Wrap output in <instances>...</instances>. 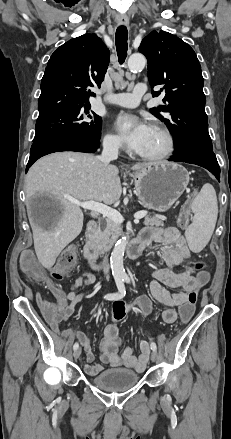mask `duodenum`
Instances as JSON below:
<instances>
[{
	"instance_id": "1",
	"label": "duodenum",
	"mask_w": 231,
	"mask_h": 439,
	"mask_svg": "<svg viewBox=\"0 0 231 439\" xmlns=\"http://www.w3.org/2000/svg\"><path fill=\"white\" fill-rule=\"evenodd\" d=\"M97 229L98 224L96 221L91 220L88 222L85 233V244L83 248L84 257L95 270H99L102 266L99 260L100 251L95 242ZM145 247V242L140 238H137L128 245L127 254L132 259L138 258L142 254Z\"/></svg>"
}]
</instances>
